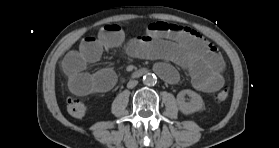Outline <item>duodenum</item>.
<instances>
[{
  "mask_svg": "<svg viewBox=\"0 0 279 148\" xmlns=\"http://www.w3.org/2000/svg\"><path fill=\"white\" fill-rule=\"evenodd\" d=\"M146 71L143 69L137 70L135 72H133L132 77L137 79L140 78Z\"/></svg>",
  "mask_w": 279,
  "mask_h": 148,
  "instance_id": "1",
  "label": "duodenum"
}]
</instances>
